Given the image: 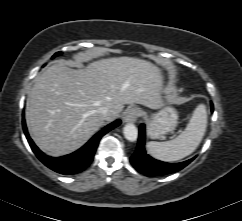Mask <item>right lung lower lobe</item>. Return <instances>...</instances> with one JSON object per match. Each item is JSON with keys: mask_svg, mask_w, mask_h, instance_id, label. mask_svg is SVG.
I'll use <instances>...</instances> for the list:
<instances>
[{"mask_svg": "<svg viewBox=\"0 0 242 221\" xmlns=\"http://www.w3.org/2000/svg\"><path fill=\"white\" fill-rule=\"evenodd\" d=\"M120 123V120H116L115 122L106 126L103 130L98 132L96 135H94V137H92L89 142H87L82 148H80L76 152L57 158L47 156L38 149V147L34 144V142L28 135L24 119L23 130L33 152L43 164L60 174L73 175L84 171L90 165L101 137L113 128L117 127Z\"/></svg>", "mask_w": 242, "mask_h": 221, "instance_id": "98d812e1", "label": "right lung lower lobe"}]
</instances>
